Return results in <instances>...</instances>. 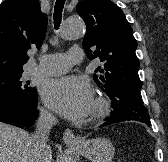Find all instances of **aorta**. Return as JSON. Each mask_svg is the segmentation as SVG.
I'll return each mask as SVG.
<instances>
[{"label":"aorta","mask_w":168,"mask_h":162,"mask_svg":"<svg viewBox=\"0 0 168 162\" xmlns=\"http://www.w3.org/2000/svg\"><path fill=\"white\" fill-rule=\"evenodd\" d=\"M85 33L84 22L80 18H68L64 21L61 28V37L65 40L80 38ZM66 162H76L73 157H68Z\"/></svg>","instance_id":"obj_1"}]
</instances>
